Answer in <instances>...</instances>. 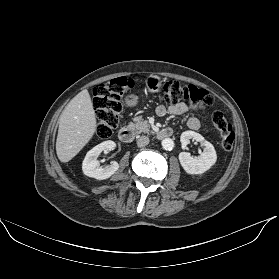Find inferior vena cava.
<instances>
[{"label": "inferior vena cava", "mask_w": 279, "mask_h": 279, "mask_svg": "<svg viewBox=\"0 0 279 279\" xmlns=\"http://www.w3.org/2000/svg\"><path fill=\"white\" fill-rule=\"evenodd\" d=\"M149 144V138L147 136H139L138 139H137V146L138 147H144L146 145Z\"/></svg>", "instance_id": "602c4592"}]
</instances>
